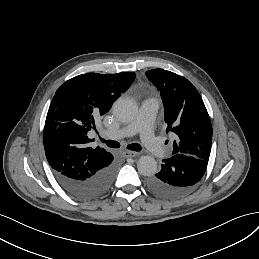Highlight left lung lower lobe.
I'll return each instance as SVG.
<instances>
[{"label":"left lung lower lobe","mask_w":259,"mask_h":259,"mask_svg":"<svg viewBox=\"0 0 259 259\" xmlns=\"http://www.w3.org/2000/svg\"><path fill=\"white\" fill-rule=\"evenodd\" d=\"M162 169L147 179L148 188L160 197L176 199L190 193L204 175L208 160L175 154L162 161Z\"/></svg>","instance_id":"left-lung-lower-lobe-1"}]
</instances>
